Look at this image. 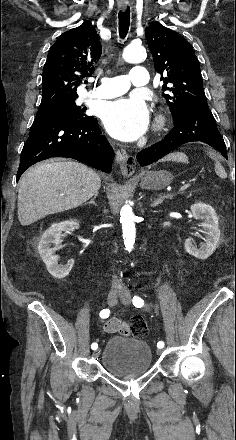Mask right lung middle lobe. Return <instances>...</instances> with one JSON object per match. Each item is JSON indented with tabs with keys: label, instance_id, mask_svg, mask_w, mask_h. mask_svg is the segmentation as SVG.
<instances>
[{
	"label": "right lung middle lobe",
	"instance_id": "dd1d6c3e",
	"mask_svg": "<svg viewBox=\"0 0 236 440\" xmlns=\"http://www.w3.org/2000/svg\"><path fill=\"white\" fill-rule=\"evenodd\" d=\"M84 109L77 106L74 101L58 103L47 106H40L39 112H49V113H60L72 118L81 119L83 117H87L86 114L83 113Z\"/></svg>",
	"mask_w": 236,
	"mask_h": 440
}]
</instances>
